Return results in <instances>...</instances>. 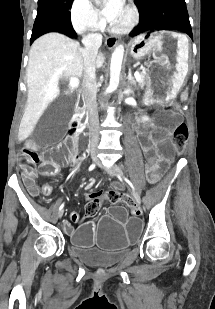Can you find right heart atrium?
I'll return each mask as SVG.
<instances>
[{"instance_id": "right-heart-atrium-1", "label": "right heart atrium", "mask_w": 215, "mask_h": 309, "mask_svg": "<svg viewBox=\"0 0 215 309\" xmlns=\"http://www.w3.org/2000/svg\"><path fill=\"white\" fill-rule=\"evenodd\" d=\"M71 28L80 35L88 34L101 28L100 14L90 6L89 0H73Z\"/></svg>"}]
</instances>
